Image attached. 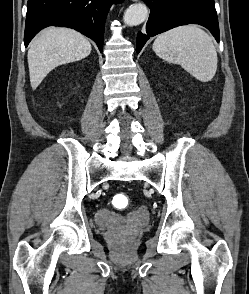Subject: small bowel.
<instances>
[{
    "label": "small bowel",
    "mask_w": 249,
    "mask_h": 294,
    "mask_svg": "<svg viewBox=\"0 0 249 294\" xmlns=\"http://www.w3.org/2000/svg\"><path fill=\"white\" fill-rule=\"evenodd\" d=\"M105 213H108L106 211H104ZM137 218H139L140 220H144L146 218V214L144 210H141L140 213L137 215Z\"/></svg>",
    "instance_id": "small-bowel-1"
}]
</instances>
